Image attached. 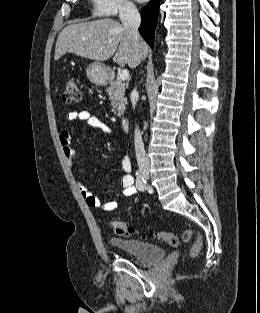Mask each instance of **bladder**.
<instances>
[{"label":"bladder","mask_w":260,"mask_h":313,"mask_svg":"<svg viewBox=\"0 0 260 313\" xmlns=\"http://www.w3.org/2000/svg\"><path fill=\"white\" fill-rule=\"evenodd\" d=\"M110 243L127 254L133 256L139 263L148 265L161 261L165 258V251L162 247L147 243L139 239L110 238Z\"/></svg>","instance_id":"obj_1"}]
</instances>
